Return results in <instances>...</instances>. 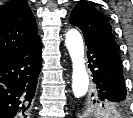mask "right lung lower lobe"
<instances>
[{"mask_svg":"<svg viewBox=\"0 0 133 118\" xmlns=\"http://www.w3.org/2000/svg\"><path fill=\"white\" fill-rule=\"evenodd\" d=\"M41 69V41L0 60V118H26Z\"/></svg>","mask_w":133,"mask_h":118,"instance_id":"right-lung-lower-lobe-1","label":"right lung lower lobe"}]
</instances>
